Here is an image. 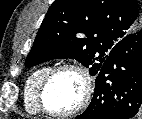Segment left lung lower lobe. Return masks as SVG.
Here are the masks:
<instances>
[{"label": "left lung lower lobe", "instance_id": "0a47b994", "mask_svg": "<svg viewBox=\"0 0 142 119\" xmlns=\"http://www.w3.org/2000/svg\"><path fill=\"white\" fill-rule=\"evenodd\" d=\"M142 113V29L108 53L88 108L75 119H133Z\"/></svg>", "mask_w": 142, "mask_h": 119}]
</instances>
